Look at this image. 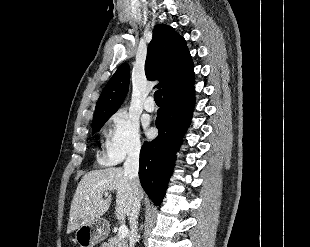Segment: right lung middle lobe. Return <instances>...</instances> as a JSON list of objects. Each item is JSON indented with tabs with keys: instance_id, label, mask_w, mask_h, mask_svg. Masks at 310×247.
Here are the masks:
<instances>
[{
	"instance_id": "obj_1",
	"label": "right lung middle lobe",
	"mask_w": 310,
	"mask_h": 247,
	"mask_svg": "<svg viewBox=\"0 0 310 247\" xmlns=\"http://www.w3.org/2000/svg\"><path fill=\"white\" fill-rule=\"evenodd\" d=\"M108 119L109 117H103L92 122L93 133L98 132Z\"/></svg>"
}]
</instances>
